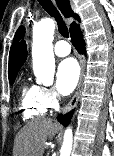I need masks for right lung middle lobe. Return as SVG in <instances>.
Masks as SVG:
<instances>
[{
    "label": "right lung middle lobe",
    "mask_w": 114,
    "mask_h": 156,
    "mask_svg": "<svg viewBox=\"0 0 114 156\" xmlns=\"http://www.w3.org/2000/svg\"><path fill=\"white\" fill-rule=\"evenodd\" d=\"M16 76L9 77V82L12 85L15 81Z\"/></svg>",
    "instance_id": "right-lung-middle-lobe-1"
}]
</instances>
